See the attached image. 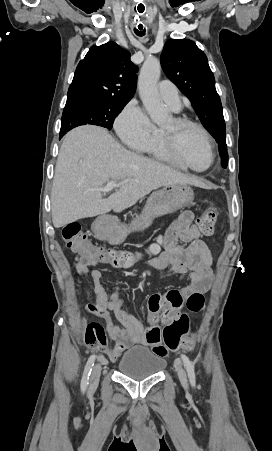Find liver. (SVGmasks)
<instances>
[{
    "label": "liver",
    "mask_w": 272,
    "mask_h": 451,
    "mask_svg": "<svg viewBox=\"0 0 272 451\" xmlns=\"http://www.w3.org/2000/svg\"><path fill=\"white\" fill-rule=\"evenodd\" d=\"M110 178L121 188L103 198L99 188ZM169 184L202 186L197 178L128 152L105 128L79 126L66 134L57 158L51 190L53 226L111 210L122 212L152 190Z\"/></svg>",
    "instance_id": "obj_1"
}]
</instances>
